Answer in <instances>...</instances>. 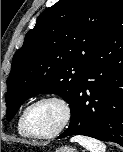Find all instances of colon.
Instances as JSON below:
<instances>
[{
	"label": "colon",
	"mask_w": 123,
	"mask_h": 152,
	"mask_svg": "<svg viewBox=\"0 0 123 152\" xmlns=\"http://www.w3.org/2000/svg\"><path fill=\"white\" fill-rule=\"evenodd\" d=\"M1 152H7V151H5V150H2Z\"/></svg>",
	"instance_id": "5ec220e1"
}]
</instances>
